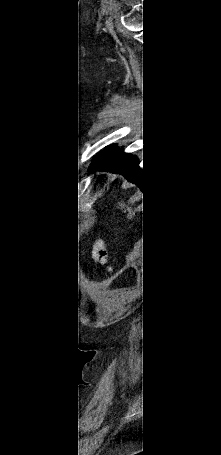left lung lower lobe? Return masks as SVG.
Returning a JSON list of instances; mask_svg holds the SVG:
<instances>
[{
	"instance_id": "1",
	"label": "left lung lower lobe",
	"mask_w": 221,
	"mask_h": 455,
	"mask_svg": "<svg viewBox=\"0 0 221 455\" xmlns=\"http://www.w3.org/2000/svg\"><path fill=\"white\" fill-rule=\"evenodd\" d=\"M138 156L124 152L115 145L107 147L92 161L89 171H108L123 174L128 181L137 184L146 192L149 182V171L146 166H139Z\"/></svg>"
}]
</instances>
